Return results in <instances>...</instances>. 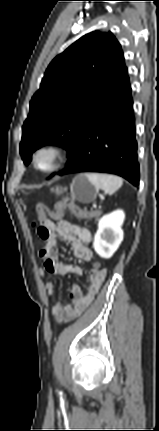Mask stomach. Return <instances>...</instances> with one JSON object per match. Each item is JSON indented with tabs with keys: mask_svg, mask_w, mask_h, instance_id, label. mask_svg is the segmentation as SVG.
I'll use <instances>...</instances> for the list:
<instances>
[{
	"mask_svg": "<svg viewBox=\"0 0 159 431\" xmlns=\"http://www.w3.org/2000/svg\"><path fill=\"white\" fill-rule=\"evenodd\" d=\"M72 196L82 203H90L96 199L98 189L87 179L85 174L78 175L72 183ZM57 194L62 193L59 188Z\"/></svg>",
	"mask_w": 159,
	"mask_h": 431,
	"instance_id": "stomach-1",
	"label": "stomach"
}]
</instances>
